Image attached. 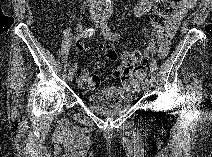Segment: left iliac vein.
<instances>
[{
  "label": "left iliac vein",
  "mask_w": 212,
  "mask_h": 157,
  "mask_svg": "<svg viewBox=\"0 0 212 157\" xmlns=\"http://www.w3.org/2000/svg\"><path fill=\"white\" fill-rule=\"evenodd\" d=\"M98 22H100V21H98ZM101 22H102V21H101ZM142 90H143L144 92H149V85L146 84V83H143V84H142Z\"/></svg>",
  "instance_id": "left-iliac-vein-1"
}]
</instances>
